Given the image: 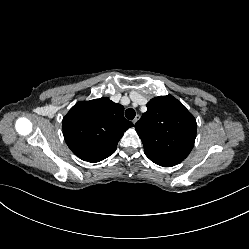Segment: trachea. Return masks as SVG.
<instances>
[{
  "instance_id": "trachea-1",
  "label": "trachea",
  "mask_w": 249,
  "mask_h": 249,
  "mask_svg": "<svg viewBox=\"0 0 249 249\" xmlns=\"http://www.w3.org/2000/svg\"><path fill=\"white\" fill-rule=\"evenodd\" d=\"M136 115V112L134 109L129 108L125 111V116L127 119L132 120Z\"/></svg>"
}]
</instances>
